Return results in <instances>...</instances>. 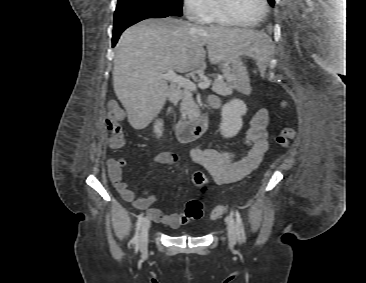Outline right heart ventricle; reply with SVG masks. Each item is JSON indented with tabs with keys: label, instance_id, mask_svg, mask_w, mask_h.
Here are the masks:
<instances>
[{
	"label": "right heart ventricle",
	"instance_id": "obj_1",
	"mask_svg": "<svg viewBox=\"0 0 366 283\" xmlns=\"http://www.w3.org/2000/svg\"><path fill=\"white\" fill-rule=\"evenodd\" d=\"M202 22L206 24H213L221 27H232L235 24L225 18L218 10L216 0H210L209 10L202 18Z\"/></svg>",
	"mask_w": 366,
	"mask_h": 283
}]
</instances>
